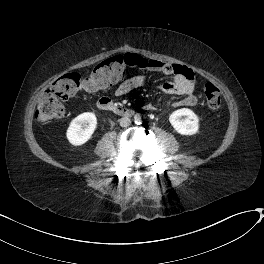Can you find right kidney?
Returning a JSON list of instances; mask_svg holds the SVG:
<instances>
[{
  "label": "right kidney",
  "mask_w": 264,
  "mask_h": 264,
  "mask_svg": "<svg viewBox=\"0 0 264 264\" xmlns=\"http://www.w3.org/2000/svg\"><path fill=\"white\" fill-rule=\"evenodd\" d=\"M96 126L97 118L94 113H82L71 121L66 132L67 139L74 146L82 145L91 138Z\"/></svg>",
  "instance_id": "1"
}]
</instances>
